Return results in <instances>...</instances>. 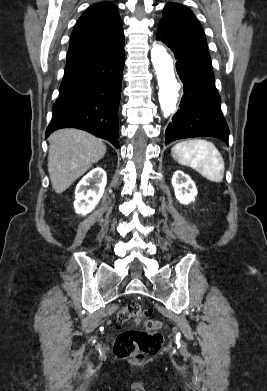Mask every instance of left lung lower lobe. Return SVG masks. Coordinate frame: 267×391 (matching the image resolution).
<instances>
[{
	"label": "left lung lower lobe",
	"instance_id": "0a47b994",
	"mask_svg": "<svg viewBox=\"0 0 267 391\" xmlns=\"http://www.w3.org/2000/svg\"><path fill=\"white\" fill-rule=\"evenodd\" d=\"M157 40L174 52L184 91L180 108L166 129L165 145L192 137H215L228 143L229 128L220 109L208 49L161 30Z\"/></svg>",
	"mask_w": 267,
	"mask_h": 391
}]
</instances>
